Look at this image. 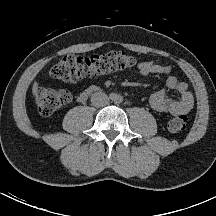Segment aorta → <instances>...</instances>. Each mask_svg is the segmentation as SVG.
Here are the masks:
<instances>
[{"label": "aorta", "instance_id": "1", "mask_svg": "<svg viewBox=\"0 0 216 216\" xmlns=\"http://www.w3.org/2000/svg\"><path fill=\"white\" fill-rule=\"evenodd\" d=\"M111 99L114 103H121L123 101V96L120 94H113Z\"/></svg>", "mask_w": 216, "mask_h": 216}]
</instances>
